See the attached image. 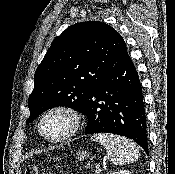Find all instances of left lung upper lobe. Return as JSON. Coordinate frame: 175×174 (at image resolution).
Returning a JSON list of instances; mask_svg holds the SVG:
<instances>
[{"label":"left lung upper lobe","mask_w":175,"mask_h":174,"mask_svg":"<svg viewBox=\"0 0 175 174\" xmlns=\"http://www.w3.org/2000/svg\"><path fill=\"white\" fill-rule=\"evenodd\" d=\"M125 49L122 36L106 23L88 21L67 28L53 41L35 72L27 123L56 106L83 111L89 92Z\"/></svg>","instance_id":"obj_1"}]
</instances>
